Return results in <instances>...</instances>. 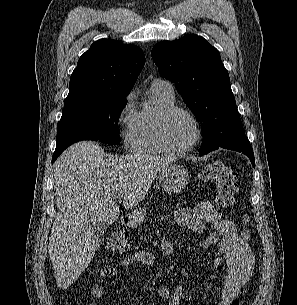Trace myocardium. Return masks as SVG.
<instances>
[{
    "label": "myocardium",
    "mask_w": 297,
    "mask_h": 305,
    "mask_svg": "<svg viewBox=\"0 0 297 305\" xmlns=\"http://www.w3.org/2000/svg\"><path fill=\"white\" fill-rule=\"evenodd\" d=\"M176 113H182V114L186 115L187 117H189L195 127L194 139L188 145H186L184 147L172 146L168 142L167 137H166V129H165L166 123L169 120V118ZM154 133H155V139H156L157 144L160 146V148L164 152H167L169 154L180 155V154H185V153L191 151L197 145V143L199 142L201 135H202V129H201V124H200L198 118L192 111H190L184 107H181V106L173 105V106H170L168 108L161 110L158 113V115L156 117V121H155Z\"/></svg>",
    "instance_id": "myocardium-1"
}]
</instances>
